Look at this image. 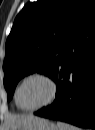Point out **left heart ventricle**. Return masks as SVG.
Wrapping results in <instances>:
<instances>
[{"mask_svg": "<svg viewBox=\"0 0 95 130\" xmlns=\"http://www.w3.org/2000/svg\"><path fill=\"white\" fill-rule=\"evenodd\" d=\"M50 96V87L42 79H31L19 91V103L24 108H34L44 103Z\"/></svg>", "mask_w": 95, "mask_h": 130, "instance_id": "left-heart-ventricle-1", "label": "left heart ventricle"}]
</instances>
